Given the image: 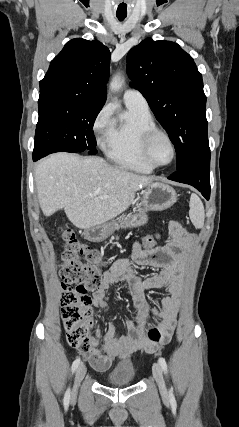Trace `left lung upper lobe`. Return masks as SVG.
Returning <instances> with one entry per match:
<instances>
[{"label": "left lung upper lobe", "mask_w": 239, "mask_h": 427, "mask_svg": "<svg viewBox=\"0 0 239 427\" xmlns=\"http://www.w3.org/2000/svg\"><path fill=\"white\" fill-rule=\"evenodd\" d=\"M127 73L168 132L177 170L210 152L202 75L189 54L177 43L147 38L129 51Z\"/></svg>", "instance_id": "5c2ea615"}]
</instances>
